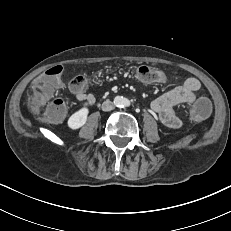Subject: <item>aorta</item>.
<instances>
[{"label":"aorta","instance_id":"aorta-1","mask_svg":"<svg viewBox=\"0 0 231 231\" xmlns=\"http://www.w3.org/2000/svg\"><path fill=\"white\" fill-rule=\"evenodd\" d=\"M123 100H124L123 97L116 96L114 99V103L116 106H120L123 103Z\"/></svg>","mask_w":231,"mask_h":231}]
</instances>
